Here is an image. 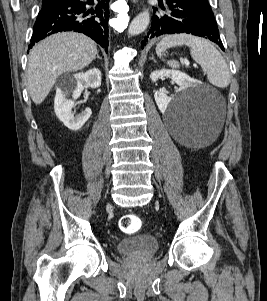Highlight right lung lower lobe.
Wrapping results in <instances>:
<instances>
[{
    "label": "right lung lower lobe",
    "mask_w": 267,
    "mask_h": 301,
    "mask_svg": "<svg viewBox=\"0 0 267 301\" xmlns=\"http://www.w3.org/2000/svg\"><path fill=\"white\" fill-rule=\"evenodd\" d=\"M108 7L109 0H59L43 6L34 25L29 49L48 35L75 31L91 37L107 52Z\"/></svg>",
    "instance_id": "98d812e1"
}]
</instances>
